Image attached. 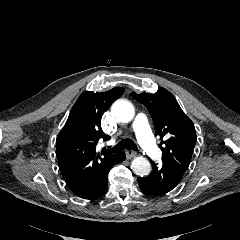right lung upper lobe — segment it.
I'll use <instances>...</instances> for the list:
<instances>
[{
  "label": "right lung upper lobe",
  "mask_w": 240,
  "mask_h": 240,
  "mask_svg": "<svg viewBox=\"0 0 240 240\" xmlns=\"http://www.w3.org/2000/svg\"><path fill=\"white\" fill-rule=\"evenodd\" d=\"M123 92L120 87L103 93L84 92L57 136L59 168L74 193L84 189L117 154H100L96 145L100 140L110 139L101 129V118Z\"/></svg>",
  "instance_id": "obj_1"
}]
</instances>
